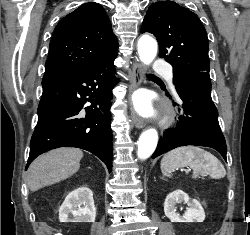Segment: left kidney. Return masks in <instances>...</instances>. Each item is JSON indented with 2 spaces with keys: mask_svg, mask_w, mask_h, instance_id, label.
<instances>
[{
  "mask_svg": "<svg viewBox=\"0 0 250 235\" xmlns=\"http://www.w3.org/2000/svg\"><path fill=\"white\" fill-rule=\"evenodd\" d=\"M185 202L188 205L186 212L180 216L176 212V205ZM164 213L171 222H203L205 212L196 199H191L182 190H175L167 195L164 202Z\"/></svg>",
  "mask_w": 250,
  "mask_h": 235,
  "instance_id": "5707ae66",
  "label": "left kidney"
}]
</instances>
